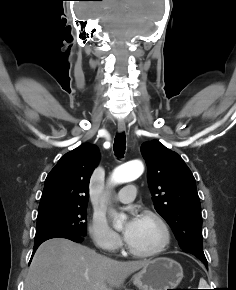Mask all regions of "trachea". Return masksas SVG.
Returning a JSON list of instances; mask_svg holds the SVG:
<instances>
[{
    "label": "trachea",
    "mask_w": 236,
    "mask_h": 290,
    "mask_svg": "<svg viewBox=\"0 0 236 290\" xmlns=\"http://www.w3.org/2000/svg\"><path fill=\"white\" fill-rule=\"evenodd\" d=\"M113 149L117 158H122L126 149L125 133L117 134L114 139Z\"/></svg>",
    "instance_id": "obj_1"
}]
</instances>
